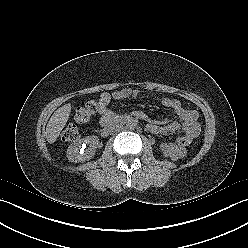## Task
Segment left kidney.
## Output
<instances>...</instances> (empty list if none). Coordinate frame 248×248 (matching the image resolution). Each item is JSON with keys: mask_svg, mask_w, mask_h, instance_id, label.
I'll list each match as a JSON object with an SVG mask.
<instances>
[{"mask_svg": "<svg viewBox=\"0 0 248 248\" xmlns=\"http://www.w3.org/2000/svg\"><path fill=\"white\" fill-rule=\"evenodd\" d=\"M160 147L163 155L165 157H170L174 161L183 158L187 154V150L185 148L179 147L174 143H163Z\"/></svg>", "mask_w": 248, "mask_h": 248, "instance_id": "obj_1", "label": "left kidney"}]
</instances>
